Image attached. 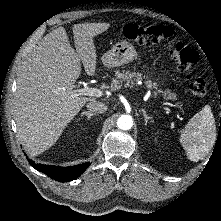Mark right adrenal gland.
<instances>
[{"mask_svg":"<svg viewBox=\"0 0 221 221\" xmlns=\"http://www.w3.org/2000/svg\"><path fill=\"white\" fill-rule=\"evenodd\" d=\"M84 115L87 116V120H90V118H91L92 116L96 115V114H95V113H92V112H90V111H84V112H82L81 117H83Z\"/></svg>","mask_w":221,"mask_h":221,"instance_id":"right-adrenal-gland-1","label":"right adrenal gland"}]
</instances>
